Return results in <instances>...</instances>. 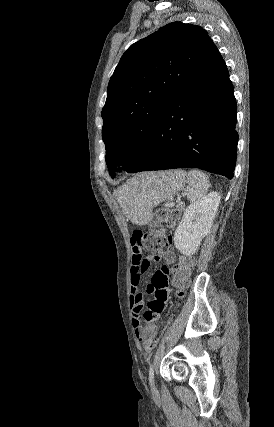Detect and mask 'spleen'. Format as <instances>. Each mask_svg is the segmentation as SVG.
I'll return each mask as SVG.
<instances>
[{
	"label": "spleen",
	"instance_id": "obj_1",
	"mask_svg": "<svg viewBox=\"0 0 274 427\" xmlns=\"http://www.w3.org/2000/svg\"><path fill=\"white\" fill-rule=\"evenodd\" d=\"M187 180V198L189 202H198V200H202L208 192V176L203 174V172H199V170H191V172H188Z\"/></svg>",
	"mask_w": 274,
	"mask_h": 427
}]
</instances>
